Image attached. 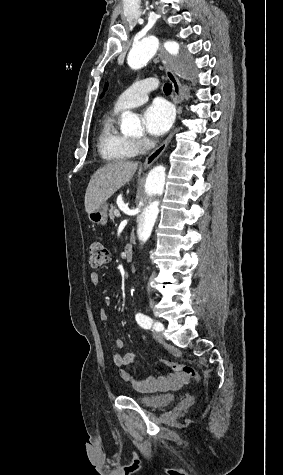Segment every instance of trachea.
Returning a JSON list of instances; mask_svg holds the SVG:
<instances>
[{"mask_svg": "<svg viewBox=\"0 0 283 475\" xmlns=\"http://www.w3.org/2000/svg\"><path fill=\"white\" fill-rule=\"evenodd\" d=\"M163 90L166 94H170L172 92V85L171 83H166L163 87Z\"/></svg>", "mask_w": 283, "mask_h": 475, "instance_id": "obj_1", "label": "trachea"}]
</instances>
